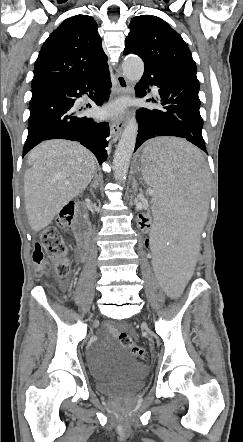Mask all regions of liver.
Wrapping results in <instances>:
<instances>
[{"label": "liver", "instance_id": "6515ba94", "mask_svg": "<svg viewBox=\"0 0 243 442\" xmlns=\"http://www.w3.org/2000/svg\"><path fill=\"white\" fill-rule=\"evenodd\" d=\"M27 162L24 204L28 222L37 232L87 188L96 170V158L77 142L54 139L35 147Z\"/></svg>", "mask_w": 243, "mask_h": 442}]
</instances>
